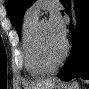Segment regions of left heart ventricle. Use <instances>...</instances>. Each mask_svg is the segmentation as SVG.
Wrapping results in <instances>:
<instances>
[{"label":"left heart ventricle","instance_id":"left-heart-ventricle-1","mask_svg":"<svg viewBox=\"0 0 89 89\" xmlns=\"http://www.w3.org/2000/svg\"><path fill=\"white\" fill-rule=\"evenodd\" d=\"M42 44L46 55L51 60H55L63 48V41L53 34L47 21H43L42 24Z\"/></svg>","mask_w":89,"mask_h":89}]
</instances>
